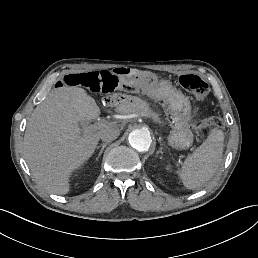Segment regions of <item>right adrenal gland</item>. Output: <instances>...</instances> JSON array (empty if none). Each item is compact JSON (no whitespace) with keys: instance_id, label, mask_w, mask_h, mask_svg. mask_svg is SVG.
<instances>
[{"instance_id":"1","label":"right adrenal gland","mask_w":258,"mask_h":258,"mask_svg":"<svg viewBox=\"0 0 258 258\" xmlns=\"http://www.w3.org/2000/svg\"><path fill=\"white\" fill-rule=\"evenodd\" d=\"M109 143H110V142H103V143L101 144L102 148H101V150L99 151V155H101V154L103 153L105 147H106L107 145H109ZM95 148L98 149L99 146H96ZM98 159H99V157H97V160H98Z\"/></svg>"}]
</instances>
